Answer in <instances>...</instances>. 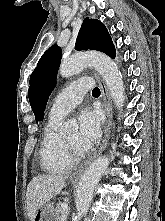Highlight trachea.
I'll return each mask as SVG.
<instances>
[{
  "label": "trachea",
  "mask_w": 165,
  "mask_h": 221,
  "mask_svg": "<svg viewBox=\"0 0 165 221\" xmlns=\"http://www.w3.org/2000/svg\"><path fill=\"white\" fill-rule=\"evenodd\" d=\"M92 94L93 95H100V89L98 87H95L93 90H92Z\"/></svg>",
  "instance_id": "1"
}]
</instances>
